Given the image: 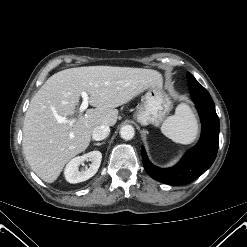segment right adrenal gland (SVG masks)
I'll return each instance as SVG.
<instances>
[{
  "instance_id": "2a0ac1e0",
  "label": "right adrenal gland",
  "mask_w": 247,
  "mask_h": 247,
  "mask_svg": "<svg viewBox=\"0 0 247 247\" xmlns=\"http://www.w3.org/2000/svg\"><path fill=\"white\" fill-rule=\"evenodd\" d=\"M104 144V142H101V143H94V145H96V146H101V145H103Z\"/></svg>"
}]
</instances>
